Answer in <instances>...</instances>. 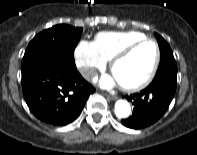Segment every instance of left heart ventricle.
Segmentation results:
<instances>
[{"mask_svg":"<svg viewBox=\"0 0 197 155\" xmlns=\"http://www.w3.org/2000/svg\"><path fill=\"white\" fill-rule=\"evenodd\" d=\"M155 54V47L152 43L142 44L115 64L113 75L120 84H137L148 75Z\"/></svg>","mask_w":197,"mask_h":155,"instance_id":"left-heart-ventricle-1","label":"left heart ventricle"}]
</instances>
